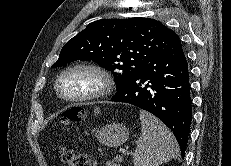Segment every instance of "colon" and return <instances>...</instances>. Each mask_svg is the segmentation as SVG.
<instances>
[{"label":"colon","mask_w":231,"mask_h":166,"mask_svg":"<svg viewBox=\"0 0 231 166\" xmlns=\"http://www.w3.org/2000/svg\"><path fill=\"white\" fill-rule=\"evenodd\" d=\"M87 117V111L83 108H70L65 112V123L83 121ZM61 160L66 166H95L92 157L86 154L61 146L59 148Z\"/></svg>","instance_id":"5ec220e1"}]
</instances>
